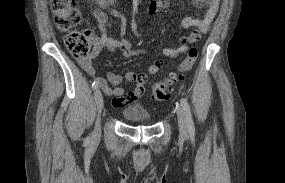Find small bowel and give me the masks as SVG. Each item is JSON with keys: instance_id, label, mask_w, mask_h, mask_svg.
<instances>
[{"instance_id": "obj_1", "label": "small bowel", "mask_w": 285, "mask_h": 183, "mask_svg": "<svg viewBox=\"0 0 285 183\" xmlns=\"http://www.w3.org/2000/svg\"><path fill=\"white\" fill-rule=\"evenodd\" d=\"M196 5L203 7L205 12L202 17L185 16L181 21V26L185 30L193 29L188 35L180 38L178 47H164L162 53L165 57L175 58L185 53L189 45L196 43L200 39V34L208 31L219 8L220 0H192ZM96 6L92 9V15L96 19L101 36L100 41L94 46L88 59L83 60L80 65L90 76L95 77L101 90L109 97L110 104L114 107H123L136 102L145 94V84L149 75L158 73L164 65L162 59H155L146 72L128 71L125 75L114 72H107L105 77L96 76L93 61L103 51H120L126 58L146 52L144 48H138L128 41L125 35L126 21L121 11L118 0H95ZM169 6L168 0H152L147 12L150 15L163 14ZM109 15L120 20L119 38H114L108 34L113 27ZM127 81L134 85L132 90H128L122 83Z\"/></svg>"}]
</instances>
